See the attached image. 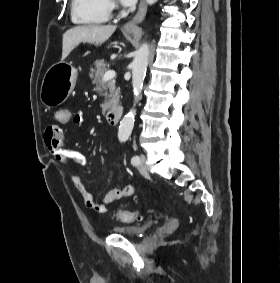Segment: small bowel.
<instances>
[{"instance_id": "small-bowel-1", "label": "small bowel", "mask_w": 280, "mask_h": 283, "mask_svg": "<svg viewBox=\"0 0 280 283\" xmlns=\"http://www.w3.org/2000/svg\"><path fill=\"white\" fill-rule=\"evenodd\" d=\"M72 120L76 125L82 126L85 122V118L81 112L72 113ZM44 143L50 152V154L56 159L57 162L64 166L70 164L76 166H82L86 163L85 156L74 149L63 148L64 144V132L60 125L53 124L49 126L44 133ZM72 182L80 194L84 205L87 209L96 213L107 212V206L121 199L129 198L134 193V188L131 185L124 186L121 189H113L108 191L102 199V202H95L91 193L86 189L82 182V177L80 175H74L72 177Z\"/></svg>"}]
</instances>
